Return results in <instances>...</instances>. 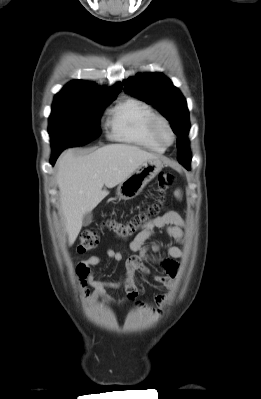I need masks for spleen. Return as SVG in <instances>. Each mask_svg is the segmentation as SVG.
Returning a JSON list of instances; mask_svg holds the SVG:
<instances>
[{
  "mask_svg": "<svg viewBox=\"0 0 261 399\" xmlns=\"http://www.w3.org/2000/svg\"><path fill=\"white\" fill-rule=\"evenodd\" d=\"M175 195H176L177 197H179V196H180V192H179V191H176V192H175Z\"/></svg>",
  "mask_w": 261,
  "mask_h": 399,
  "instance_id": "1",
  "label": "spleen"
}]
</instances>
